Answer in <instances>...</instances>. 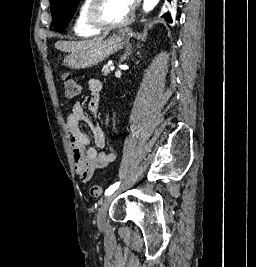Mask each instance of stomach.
<instances>
[{"label":"stomach","instance_id":"stomach-1","mask_svg":"<svg viewBox=\"0 0 256 267\" xmlns=\"http://www.w3.org/2000/svg\"><path fill=\"white\" fill-rule=\"evenodd\" d=\"M129 38V32L120 30V32H116V34L105 38V40L97 44V46H87L84 52H75V54H71V56H66L64 67L81 70V68L96 66L99 62H103L105 58H109V56L118 52L123 44L128 42Z\"/></svg>","mask_w":256,"mask_h":267}]
</instances>
